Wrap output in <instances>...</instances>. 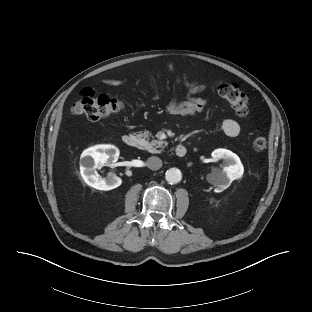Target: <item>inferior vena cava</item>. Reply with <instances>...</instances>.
<instances>
[{
    "mask_svg": "<svg viewBox=\"0 0 312 312\" xmlns=\"http://www.w3.org/2000/svg\"><path fill=\"white\" fill-rule=\"evenodd\" d=\"M147 165L151 170H158L162 167V160L159 157L152 156L148 158Z\"/></svg>",
    "mask_w": 312,
    "mask_h": 312,
    "instance_id": "602c4592",
    "label": "inferior vena cava"
}]
</instances>
